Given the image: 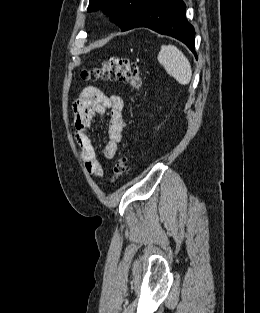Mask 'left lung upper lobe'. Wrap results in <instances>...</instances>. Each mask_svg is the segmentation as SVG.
Listing matches in <instances>:
<instances>
[{"label": "left lung upper lobe", "mask_w": 260, "mask_h": 313, "mask_svg": "<svg viewBox=\"0 0 260 313\" xmlns=\"http://www.w3.org/2000/svg\"><path fill=\"white\" fill-rule=\"evenodd\" d=\"M152 0H90L88 11L100 6L111 16V20L119 25L122 31L131 24L137 15L144 10Z\"/></svg>", "instance_id": "left-lung-upper-lobe-1"}]
</instances>
